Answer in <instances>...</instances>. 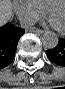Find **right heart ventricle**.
Returning a JSON list of instances; mask_svg holds the SVG:
<instances>
[{
  "instance_id": "right-heart-ventricle-1",
  "label": "right heart ventricle",
  "mask_w": 65,
  "mask_h": 89,
  "mask_svg": "<svg viewBox=\"0 0 65 89\" xmlns=\"http://www.w3.org/2000/svg\"><path fill=\"white\" fill-rule=\"evenodd\" d=\"M39 5H41L42 7H46V5L51 2V1H54V0H35Z\"/></svg>"
}]
</instances>
